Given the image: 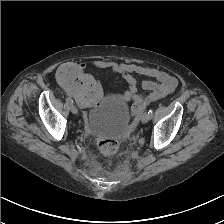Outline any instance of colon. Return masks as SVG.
I'll list each match as a JSON object with an SVG mask.
<instances>
[{
  "label": "colon",
  "mask_w": 224,
  "mask_h": 224,
  "mask_svg": "<svg viewBox=\"0 0 224 224\" xmlns=\"http://www.w3.org/2000/svg\"><path fill=\"white\" fill-rule=\"evenodd\" d=\"M58 78L65 86L67 92L81 105H94L99 98L96 88L91 86V77L76 64H66L58 71ZM146 105L145 100L136 102L133 106V113H138ZM96 146L104 155L116 154L120 144L113 138H97Z\"/></svg>",
  "instance_id": "obj_1"
}]
</instances>
